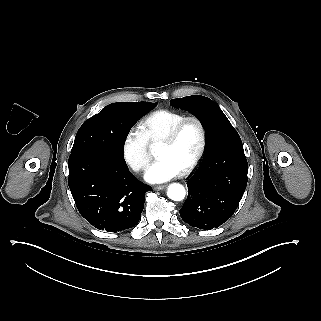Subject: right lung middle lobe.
Here are the masks:
<instances>
[{"mask_svg":"<svg viewBox=\"0 0 321 321\" xmlns=\"http://www.w3.org/2000/svg\"><path fill=\"white\" fill-rule=\"evenodd\" d=\"M157 103L117 102L104 107L100 113L86 120L78 130L71 154L92 151L124 158L123 148L127 137L118 125V113L124 110L138 111L141 118L154 108Z\"/></svg>","mask_w":321,"mask_h":321,"instance_id":"dd1d6c3e","label":"right lung middle lobe"}]
</instances>
